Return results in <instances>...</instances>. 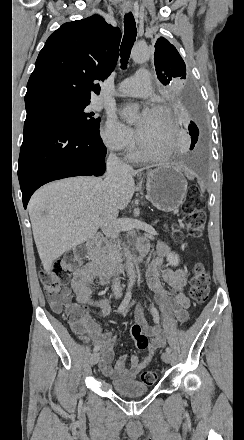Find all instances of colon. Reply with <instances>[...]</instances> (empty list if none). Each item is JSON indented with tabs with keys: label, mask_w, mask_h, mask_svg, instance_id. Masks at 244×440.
I'll return each instance as SVG.
<instances>
[{
	"label": "colon",
	"mask_w": 244,
	"mask_h": 440,
	"mask_svg": "<svg viewBox=\"0 0 244 440\" xmlns=\"http://www.w3.org/2000/svg\"><path fill=\"white\" fill-rule=\"evenodd\" d=\"M185 222L191 236L197 237L202 234L206 222V213L202 204L201 195L198 191L191 194L184 206ZM172 229L174 238L182 236L181 222L173 221ZM86 252L83 248H66L64 254L66 258L55 262L51 270L40 274V281L47 299L56 312H65L67 319L71 322L73 330L81 333L87 328L88 319L86 318L87 307L71 303V291L68 287L70 273L77 269L79 257H83ZM211 283L210 274L202 264H197L192 269V281L190 297L195 304L201 305L206 302L209 296V286ZM132 335L135 347L140 351H145L149 347V339L143 334L138 324H133ZM158 377L156 369H146L141 374V379L146 384H152Z\"/></svg>",
	"instance_id": "obj_1"
}]
</instances>
